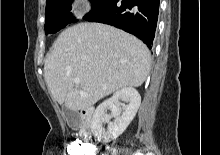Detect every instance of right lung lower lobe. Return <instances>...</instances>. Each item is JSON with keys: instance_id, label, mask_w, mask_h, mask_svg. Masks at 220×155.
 <instances>
[{"instance_id": "1", "label": "right lung lower lobe", "mask_w": 220, "mask_h": 155, "mask_svg": "<svg viewBox=\"0 0 220 155\" xmlns=\"http://www.w3.org/2000/svg\"><path fill=\"white\" fill-rule=\"evenodd\" d=\"M158 13L159 0H113L108 7L86 20L109 24L129 32L151 49Z\"/></svg>"}]
</instances>
